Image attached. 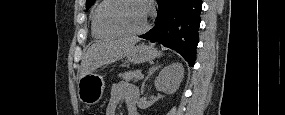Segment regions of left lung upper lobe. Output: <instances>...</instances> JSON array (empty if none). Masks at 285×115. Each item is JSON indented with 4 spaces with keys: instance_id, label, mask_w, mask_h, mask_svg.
<instances>
[{
    "instance_id": "obj_1",
    "label": "left lung upper lobe",
    "mask_w": 285,
    "mask_h": 115,
    "mask_svg": "<svg viewBox=\"0 0 285 115\" xmlns=\"http://www.w3.org/2000/svg\"><path fill=\"white\" fill-rule=\"evenodd\" d=\"M94 2H95V0H87L86 1V9L88 10L93 5Z\"/></svg>"
}]
</instances>
